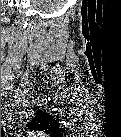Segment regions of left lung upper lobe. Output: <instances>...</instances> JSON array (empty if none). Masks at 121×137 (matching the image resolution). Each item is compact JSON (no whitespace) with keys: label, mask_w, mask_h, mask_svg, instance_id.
Masks as SVG:
<instances>
[{"label":"left lung upper lobe","mask_w":121,"mask_h":137,"mask_svg":"<svg viewBox=\"0 0 121 137\" xmlns=\"http://www.w3.org/2000/svg\"><path fill=\"white\" fill-rule=\"evenodd\" d=\"M58 125L53 116L43 111H37V117L27 124L28 129L31 131L40 130L47 133H53L58 130Z\"/></svg>","instance_id":"obj_1"}]
</instances>
